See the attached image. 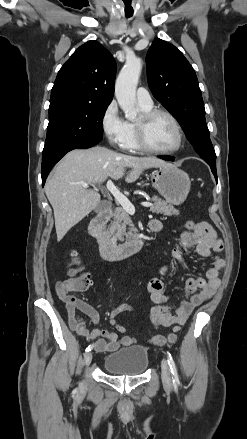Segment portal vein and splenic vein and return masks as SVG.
<instances>
[{
	"instance_id": "18ae733b",
	"label": "portal vein and splenic vein",
	"mask_w": 247,
	"mask_h": 439,
	"mask_svg": "<svg viewBox=\"0 0 247 439\" xmlns=\"http://www.w3.org/2000/svg\"><path fill=\"white\" fill-rule=\"evenodd\" d=\"M82 185L85 188L89 187V184L87 183H82ZM106 187L127 213L129 214L135 213V207L133 206V204L129 201V199L126 196H124L120 192V190L114 185L112 180L107 181ZM141 205L144 207H151L153 204L150 202H142Z\"/></svg>"
}]
</instances>
